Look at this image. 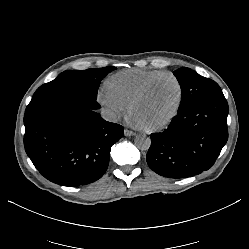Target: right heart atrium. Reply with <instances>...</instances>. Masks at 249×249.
Here are the masks:
<instances>
[{"label": "right heart atrium", "mask_w": 249, "mask_h": 249, "mask_svg": "<svg viewBox=\"0 0 249 249\" xmlns=\"http://www.w3.org/2000/svg\"><path fill=\"white\" fill-rule=\"evenodd\" d=\"M97 101L103 108L106 116L111 120H116L128 110L127 104L112 96L105 89L98 93Z\"/></svg>", "instance_id": "d8ad5b80"}]
</instances>
